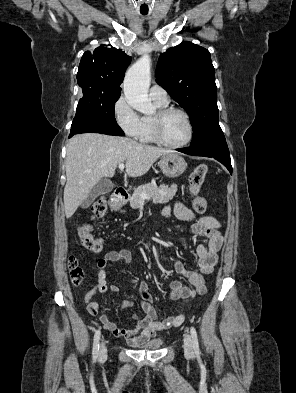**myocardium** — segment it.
Returning <instances> with one entry per match:
<instances>
[{
	"instance_id": "f54148a6",
	"label": "myocardium",
	"mask_w": 296,
	"mask_h": 393,
	"mask_svg": "<svg viewBox=\"0 0 296 393\" xmlns=\"http://www.w3.org/2000/svg\"><path fill=\"white\" fill-rule=\"evenodd\" d=\"M173 113H178L180 115H182L187 123L188 126V135L186 137V139L184 141H182L181 143H177V144H172L167 142L162 134V126H163V122L164 120ZM153 130H154V137L155 140L158 144L167 147V148H171V149H179V148H183L186 145H188L192 138H193V134H194V129H193V123L192 120L189 116V114L180 109V108H175V107H168V108H163L160 109L156 112V114L153 116Z\"/></svg>"
}]
</instances>
